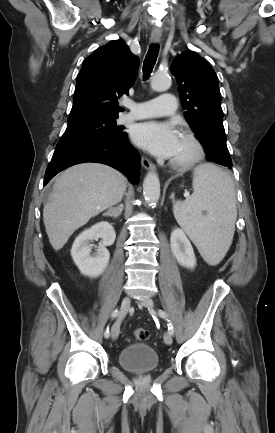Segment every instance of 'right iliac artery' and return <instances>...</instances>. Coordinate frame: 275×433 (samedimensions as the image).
<instances>
[{"label": "right iliac artery", "instance_id": "1", "mask_svg": "<svg viewBox=\"0 0 275 433\" xmlns=\"http://www.w3.org/2000/svg\"><path fill=\"white\" fill-rule=\"evenodd\" d=\"M118 313H119V312H118L117 309L114 310V311L112 312V314H111V317H112V318H115L116 316H118ZM104 336H105V338H109V336H110L109 328H107V330L105 331Z\"/></svg>", "mask_w": 275, "mask_h": 433}]
</instances>
